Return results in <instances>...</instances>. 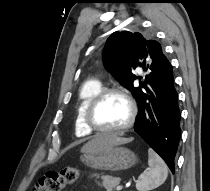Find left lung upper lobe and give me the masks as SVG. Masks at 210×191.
Instances as JSON below:
<instances>
[{
	"mask_svg": "<svg viewBox=\"0 0 210 191\" xmlns=\"http://www.w3.org/2000/svg\"><path fill=\"white\" fill-rule=\"evenodd\" d=\"M166 59L160 44L155 40H147L141 33L130 31L114 32L106 42L103 51V61L106 68L127 89L135 99L143 93L148 82H141L139 87H134L133 82L137 78L133 70L140 66L150 73L145 76L149 80L150 75L159 69L162 61ZM139 80L142 77H138Z\"/></svg>",
	"mask_w": 210,
	"mask_h": 191,
	"instance_id": "left-lung-upper-lobe-1",
	"label": "left lung upper lobe"
}]
</instances>
